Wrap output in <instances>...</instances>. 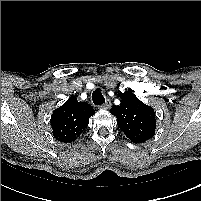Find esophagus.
Instances as JSON below:
<instances>
[{"instance_id": "esophagus-1", "label": "esophagus", "mask_w": 201, "mask_h": 201, "mask_svg": "<svg viewBox=\"0 0 201 201\" xmlns=\"http://www.w3.org/2000/svg\"><path fill=\"white\" fill-rule=\"evenodd\" d=\"M111 105H112L111 101L107 99L104 104L99 106V108L109 109Z\"/></svg>"}]
</instances>
